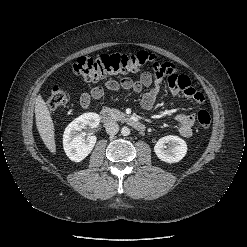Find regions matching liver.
<instances>
[{
	"label": "liver",
	"instance_id": "1",
	"mask_svg": "<svg viewBox=\"0 0 247 247\" xmlns=\"http://www.w3.org/2000/svg\"><path fill=\"white\" fill-rule=\"evenodd\" d=\"M35 118L37 130L40 134L42 141L44 142L47 149L55 154L56 144H55V134H54V123L50 114V111L41 97L35 100Z\"/></svg>",
	"mask_w": 247,
	"mask_h": 247
}]
</instances>
